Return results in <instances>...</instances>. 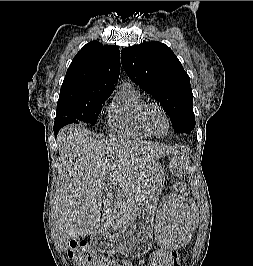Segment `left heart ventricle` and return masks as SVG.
Here are the masks:
<instances>
[{
  "label": "left heart ventricle",
  "instance_id": "left-heart-ventricle-1",
  "mask_svg": "<svg viewBox=\"0 0 253 266\" xmlns=\"http://www.w3.org/2000/svg\"><path fill=\"white\" fill-rule=\"evenodd\" d=\"M147 123L156 135H164L167 131V121L162 112L156 108L149 109L147 113Z\"/></svg>",
  "mask_w": 253,
  "mask_h": 266
}]
</instances>
